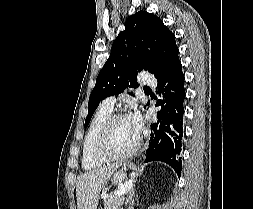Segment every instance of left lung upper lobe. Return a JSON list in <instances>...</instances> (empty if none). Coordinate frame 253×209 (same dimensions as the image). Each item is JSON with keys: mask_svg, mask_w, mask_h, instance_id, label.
<instances>
[{"mask_svg": "<svg viewBox=\"0 0 253 209\" xmlns=\"http://www.w3.org/2000/svg\"><path fill=\"white\" fill-rule=\"evenodd\" d=\"M178 53L175 35L160 18L146 11L128 17L125 30L118 34L111 54L97 76L89 97L84 127L88 126L103 99L119 94L125 88L139 86L136 80L138 72L145 70L158 79L163 78L179 61Z\"/></svg>", "mask_w": 253, "mask_h": 209, "instance_id": "left-lung-upper-lobe-1", "label": "left lung upper lobe"}]
</instances>
